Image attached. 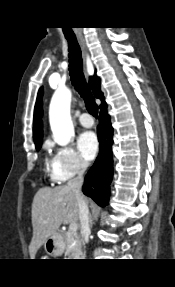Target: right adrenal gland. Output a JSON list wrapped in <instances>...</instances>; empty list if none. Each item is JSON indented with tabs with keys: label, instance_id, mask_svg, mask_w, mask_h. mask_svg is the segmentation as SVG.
I'll use <instances>...</instances> for the list:
<instances>
[{
	"label": "right adrenal gland",
	"instance_id": "obj_1",
	"mask_svg": "<svg viewBox=\"0 0 175 287\" xmlns=\"http://www.w3.org/2000/svg\"><path fill=\"white\" fill-rule=\"evenodd\" d=\"M92 225H93V220H92V217L90 215V226L92 227Z\"/></svg>",
	"mask_w": 175,
	"mask_h": 287
}]
</instances>
